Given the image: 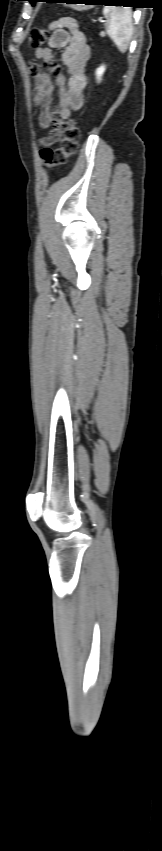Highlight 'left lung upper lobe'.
Masks as SVG:
<instances>
[{
  "mask_svg": "<svg viewBox=\"0 0 162 851\" xmlns=\"http://www.w3.org/2000/svg\"><path fill=\"white\" fill-rule=\"evenodd\" d=\"M28 1H30L31 4H34L35 2H37V0H28Z\"/></svg>",
  "mask_w": 162,
  "mask_h": 851,
  "instance_id": "5c2ea615",
  "label": "left lung upper lobe"
}]
</instances>
